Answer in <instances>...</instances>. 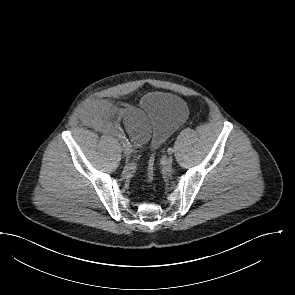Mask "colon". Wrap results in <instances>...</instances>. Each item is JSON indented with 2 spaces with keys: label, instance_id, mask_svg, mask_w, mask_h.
Returning <instances> with one entry per match:
<instances>
[{
  "label": "colon",
  "instance_id": "1",
  "mask_svg": "<svg viewBox=\"0 0 295 295\" xmlns=\"http://www.w3.org/2000/svg\"><path fill=\"white\" fill-rule=\"evenodd\" d=\"M155 174V157L152 155L147 164V181L151 183Z\"/></svg>",
  "mask_w": 295,
  "mask_h": 295
}]
</instances>
